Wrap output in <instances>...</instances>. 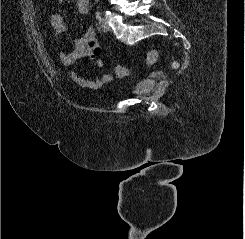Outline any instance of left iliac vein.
<instances>
[{"mask_svg": "<svg viewBox=\"0 0 245 239\" xmlns=\"http://www.w3.org/2000/svg\"><path fill=\"white\" fill-rule=\"evenodd\" d=\"M100 26H101V28H102L103 31H105V32L110 31V27H109L108 22H107L106 19L101 18V20H100Z\"/></svg>", "mask_w": 245, "mask_h": 239, "instance_id": "obj_1", "label": "left iliac vein"}]
</instances>
